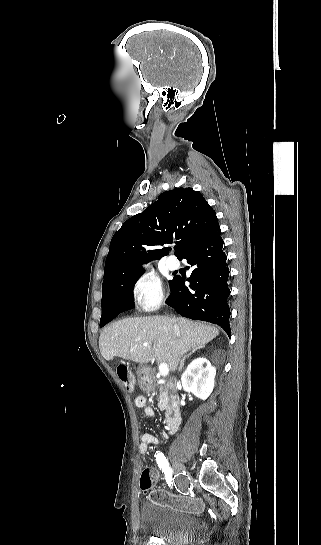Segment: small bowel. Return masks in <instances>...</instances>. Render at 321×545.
<instances>
[{
    "label": "small bowel",
    "mask_w": 321,
    "mask_h": 545,
    "mask_svg": "<svg viewBox=\"0 0 321 545\" xmlns=\"http://www.w3.org/2000/svg\"><path fill=\"white\" fill-rule=\"evenodd\" d=\"M135 405L139 408H143L144 409V412L147 416H153L154 415V410L147 406V400L144 396L142 395H139L135 398ZM166 438L169 436L167 434L164 435ZM141 441H140V444H139V452L140 454L142 455V457L144 458L146 453H147V450L149 448L150 445H154V444H158L159 443V440L158 438L151 434V433H143L141 435ZM152 472V475H153V478H154V481L157 480L158 478V473L155 471V470H151Z\"/></svg>",
    "instance_id": "1"
}]
</instances>
